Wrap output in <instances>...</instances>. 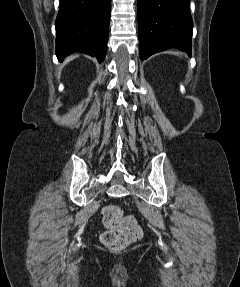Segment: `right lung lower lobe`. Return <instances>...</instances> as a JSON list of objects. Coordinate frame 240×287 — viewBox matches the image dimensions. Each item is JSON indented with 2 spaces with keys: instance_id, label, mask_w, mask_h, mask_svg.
<instances>
[{
  "instance_id": "obj_1",
  "label": "right lung lower lobe",
  "mask_w": 240,
  "mask_h": 287,
  "mask_svg": "<svg viewBox=\"0 0 240 287\" xmlns=\"http://www.w3.org/2000/svg\"><path fill=\"white\" fill-rule=\"evenodd\" d=\"M56 18V55L60 61L78 51L102 62L106 55L111 0H60Z\"/></svg>"
}]
</instances>
